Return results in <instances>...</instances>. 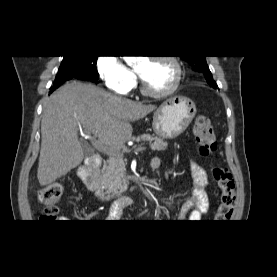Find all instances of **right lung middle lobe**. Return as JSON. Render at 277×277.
<instances>
[{
	"label": "right lung middle lobe",
	"mask_w": 277,
	"mask_h": 277,
	"mask_svg": "<svg viewBox=\"0 0 277 277\" xmlns=\"http://www.w3.org/2000/svg\"><path fill=\"white\" fill-rule=\"evenodd\" d=\"M97 58L98 56H64L58 74L73 72L97 81Z\"/></svg>",
	"instance_id": "right-lung-middle-lobe-1"
}]
</instances>
